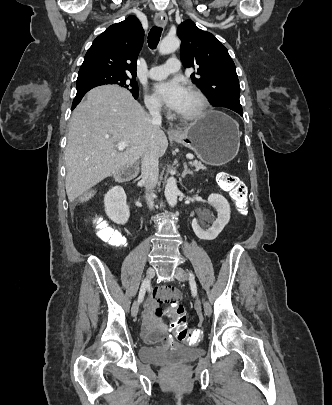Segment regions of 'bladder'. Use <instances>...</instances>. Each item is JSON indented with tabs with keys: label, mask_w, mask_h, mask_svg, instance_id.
<instances>
[{
	"label": "bladder",
	"mask_w": 332,
	"mask_h": 405,
	"mask_svg": "<svg viewBox=\"0 0 332 405\" xmlns=\"http://www.w3.org/2000/svg\"><path fill=\"white\" fill-rule=\"evenodd\" d=\"M145 345L138 351L141 361L154 364L186 363L198 358L202 350L198 347H187L177 343L154 342L143 335Z\"/></svg>",
	"instance_id": "31cf9c89"
}]
</instances>
